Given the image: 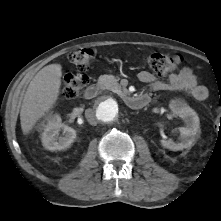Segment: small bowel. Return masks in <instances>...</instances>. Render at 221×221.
<instances>
[{
  "label": "small bowel",
  "instance_id": "obj_1",
  "mask_svg": "<svg viewBox=\"0 0 221 221\" xmlns=\"http://www.w3.org/2000/svg\"><path fill=\"white\" fill-rule=\"evenodd\" d=\"M138 79L143 83L150 84L155 91H184L200 101L207 100L210 96L208 88L199 83L198 77L190 67H184L179 72L172 74L168 82L156 80L147 71H141L138 74Z\"/></svg>",
  "mask_w": 221,
  "mask_h": 221
}]
</instances>
